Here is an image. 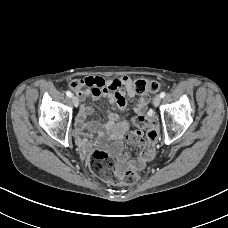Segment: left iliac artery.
I'll list each match as a JSON object with an SVG mask.
<instances>
[{
	"instance_id": "1",
	"label": "left iliac artery",
	"mask_w": 228,
	"mask_h": 228,
	"mask_svg": "<svg viewBox=\"0 0 228 228\" xmlns=\"http://www.w3.org/2000/svg\"><path fill=\"white\" fill-rule=\"evenodd\" d=\"M165 95H166V93H165V92H161V93H160V97H161V98H164V97H165Z\"/></svg>"
}]
</instances>
